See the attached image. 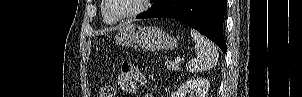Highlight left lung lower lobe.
<instances>
[{"label":"left lung lower lobe","instance_id":"0a47b994","mask_svg":"<svg viewBox=\"0 0 302 97\" xmlns=\"http://www.w3.org/2000/svg\"><path fill=\"white\" fill-rule=\"evenodd\" d=\"M227 0H154L151 8L136 18L171 17L207 36L225 53L223 19Z\"/></svg>","mask_w":302,"mask_h":97}]
</instances>
